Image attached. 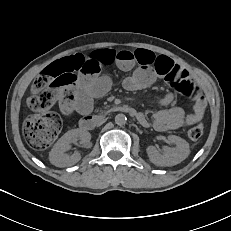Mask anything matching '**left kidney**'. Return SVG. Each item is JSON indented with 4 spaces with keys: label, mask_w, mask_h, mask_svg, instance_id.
Wrapping results in <instances>:
<instances>
[{
    "label": "left kidney",
    "mask_w": 231,
    "mask_h": 231,
    "mask_svg": "<svg viewBox=\"0 0 231 231\" xmlns=\"http://www.w3.org/2000/svg\"><path fill=\"white\" fill-rule=\"evenodd\" d=\"M168 139L175 144V147H167L164 154H160L154 146H149L146 151L150 161L158 166H174L185 160L189 153V144L184 139L170 135Z\"/></svg>",
    "instance_id": "left-kidney-1"
}]
</instances>
